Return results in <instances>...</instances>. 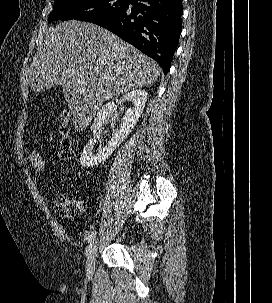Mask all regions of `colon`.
<instances>
[{"label": "colon", "mask_w": 272, "mask_h": 303, "mask_svg": "<svg viewBox=\"0 0 272 303\" xmlns=\"http://www.w3.org/2000/svg\"><path fill=\"white\" fill-rule=\"evenodd\" d=\"M60 131V156L63 160L69 161L74 156L73 140L69 127V116L64 114L59 121ZM30 167L32 173L36 176H44L47 170V162L43 153L37 149L30 154ZM55 210L57 214L68 218H78L83 210L84 204L81 200L69 195H60L55 202Z\"/></svg>", "instance_id": "colon-1"}]
</instances>
